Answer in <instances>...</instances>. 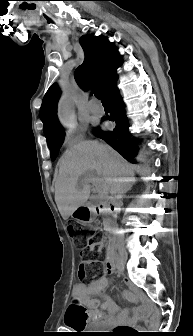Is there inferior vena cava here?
<instances>
[{
  "label": "inferior vena cava",
  "instance_id": "inferior-vena-cava-1",
  "mask_svg": "<svg viewBox=\"0 0 193 336\" xmlns=\"http://www.w3.org/2000/svg\"><path fill=\"white\" fill-rule=\"evenodd\" d=\"M121 201H120V196H115V199H114V203L115 204H119Z\"/></svg>",
  "mask_w": 193,
  "mask_h": 336
}]
</instances>
